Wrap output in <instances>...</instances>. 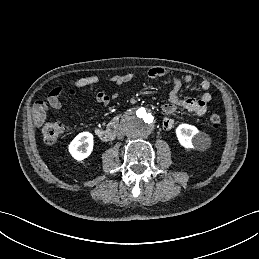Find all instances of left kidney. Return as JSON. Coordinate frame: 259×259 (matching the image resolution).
<instances>
[{"instance_id": "left-kidney-1", "label": "left kidney", "mask_w": 259, "mask_h": 259, "mask_svg": "<svg viewBox=\"0 0 259 259\" xmlns=\"http://www.w3.org/2000/svg\"><path fill=\"white\" fill-rule=\"evenodd\" d=\"M176 135L179 143L187 149L197 147L200 144V139L203 137L195 126L189 124H180L176 128Z\"/></svg>"}]
</instances>
